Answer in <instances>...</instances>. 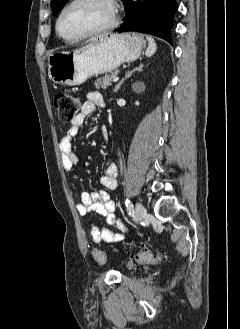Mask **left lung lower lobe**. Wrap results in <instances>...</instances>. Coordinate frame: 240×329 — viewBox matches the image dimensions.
<instances>
[{
    "instance_id": "1",
    "label": "left lung lower lobe",
    "mask_w": 240,
    "mask_h": 329,
    "mask_svg": "<svg viewBox=\"0 0 240 329\" xmlns=\"http://www.w3.org/2000/svg\"><path fill=\"white\" fill-rule=\"evenodd\" d=\"M125 21L119 33L136 31L152 34L171 42V28L178 6L175 0H145L142 3L125 0Z\"/></svg>"
}]
</instances>
